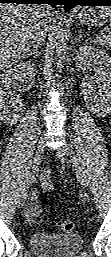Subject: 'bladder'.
Here are the masks:
<instances>
[{"mask_svg": "<svg viewBox=\"0 0 111 257\" xmlns=\"http://www.w3.org/2000/svg\"><path fill=\"white\" fill-rule=\"evenodd\" d=\"M31 251L39 257H74L83 247L79 234L38 232L29 240Z\"/></svg>", "mask_w": 111, "mask_h": 257, "instance_id": "bladder-1", "label": "bladder"}]
</instances>
